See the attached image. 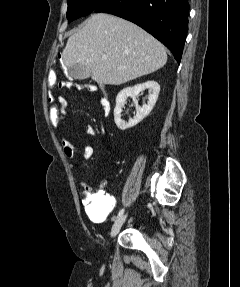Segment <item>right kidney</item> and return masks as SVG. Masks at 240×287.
Segmentation results:
<instances>
[{
    "label": "right kidney",
    "mask_w": 240,
    "mask_h": 287,
    "mask_svg": "<svg viewBox=\"0 0 240 287\" xmlns=\"http://www.w3.org/2000/svg\"><path fill=\"white\" fill-rule=\"evenodd\" d=\"M145 89H148L150 92V96L148 98L149 101L147 104H144L142 107H140L138 105L137 97L139 93L144 91ZM159 92L160 85L156 81H147L145 83L138 84L133 87H127L121 90L116 97V106L114 109V121L116 126L120 130H126L134 127L139 122H141L152 111L157 101ZM128 97L133 98V102L136 107V115L134 116V118L129 119L128 122H125L121 119V112L122 108L126 104V100Z\"/></svg>",
    "instance_id": "obj_1"
}]
</instances>
